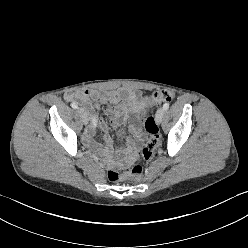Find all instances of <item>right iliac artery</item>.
Masks as SVG:
<instances>
[{
    "instance_id": "right-iliac-artery-1",
    "label": "right iliac artery",
    "mask_w": 248,
    "mask_h": 248,
    "mask_svg": "<svg viewBox=\"0 0 248 248\" xmlns=\"http://www.w3.org/2000/svg\"><path fill=\"white\" fill-rule=\"evenodd\" d=\"M71 106H72V108H74V109H77V108H78V105H77L75 102H73V103L71 104ZM92 123H93V126H96V120H95V119H92Z\"/></svg>"
}]
</instances>
